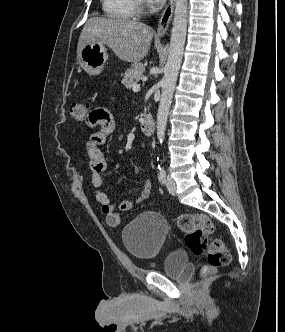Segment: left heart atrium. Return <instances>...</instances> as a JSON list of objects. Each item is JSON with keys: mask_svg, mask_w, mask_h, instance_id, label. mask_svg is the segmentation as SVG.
Listing matches in <instances>:
<instances>
[{"mask_svg": "<svg viewBox=\"0 0 285 332\" xmlns=\"http://www.w3.org/2000/svg\"><path fill=\"white\" fill-rule=\"evenodd\" d=\"M154 4H162L165 0H150Z\"/></svg>", "mask_w": 285, "mask_h": 332, "instance_id": "1", "label": "left heart atrium"}]
</instances>
